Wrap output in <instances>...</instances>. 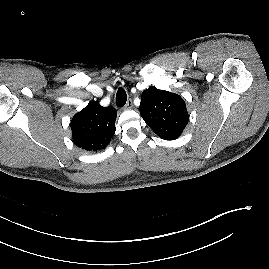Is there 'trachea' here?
<instances>
[{"label":"trachea","instance_id":"trachea-1","mask_svg":"<svg viewBox=\"0 0 269 269\" xmlns=\"http://www.w3.org/2000/svg\"><path fill=\"white\" fill-rule=\"evenodd\" d=\"M127 95L123 88H119L116 94V104L118 107H123L126 104Z\"/></svg>","mask_w":269,"mask_h":269}]
</instances>
